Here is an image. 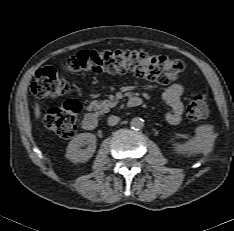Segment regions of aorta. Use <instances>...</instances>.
Wrapping results in <instances>:
<instances>
[{
    "label": "aorta",
    "instance_id": "762f6f07",
    "mask_svg": "<svg viewBox=\"0 0 234 231\" xmlns=\"http://www.w3.org/2000/svg\"><path fill=\"white\" fill-rule=\"evenodd\" d=\"M130 125L133 129L140 130L144 127V120L140 117H134L131 120Z\"/></svg>",
    "mask_w": 234,
    "mask_h": 231
}]
</instances>
